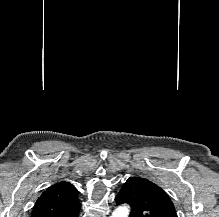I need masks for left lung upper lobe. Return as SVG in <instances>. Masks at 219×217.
<instances>
[{"mask_svg": "<svg viewBox=\"0 0 219 217\" xmlns=\"http://www.w3.org/2000/svg\"><path fill=\"white\" fill-rule=\"evenodd\" d=\"M115 201L117 204L128 203L131 206L129 217H178L167 193L141 177H130Z\"/></svg>", "mask_w": 219, "mask_h": 217, "instance_id": "1", "label": "left lung upper lobe"}]
</instances>
